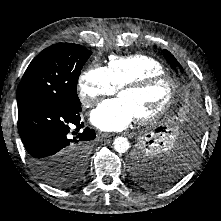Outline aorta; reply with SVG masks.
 <instances>
[{"mask_svg": "<svg viewBox=\"0 0 221 221\" xmlns=\"http://www.w3.org/2000/svg\"><path fill=\"white\" fill-rule=\"evenodd\" d=\"M113 147L116 152L123 154L129 150L130 143L125 137H117L113 141Z\"/></svg>", "mask_w": 221, "mask_h": 221, "instance_id": "obj_1", "label": "aorta"}]
</instances>
